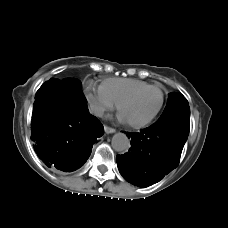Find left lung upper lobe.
Here are the masks:
<instances>
[{
    "label": "left lung upper lobe",
    "mask_w": 228,
    "mask_h": 228,
    "mask_svg": "<svg viewBox=\"0 0 228 228\" xmlns=\"http://www.w3.org/2000/svg\"><path fill=\"white\" fill-rule=\"evenodd\" d=\"M185 119L190 120V108L187 99L181 93L169 94L167 105L158 120L179 124Z\"/></svg>",
    "instance_id": "left-lung-upper-lobe-1"
}]
</instances>
